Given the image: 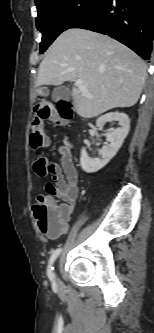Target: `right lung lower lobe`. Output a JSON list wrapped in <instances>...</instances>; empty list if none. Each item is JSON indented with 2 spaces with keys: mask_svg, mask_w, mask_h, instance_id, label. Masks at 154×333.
<instances>
[{
  "mask_svg": "<svg viewBox=\"0 0 154 333\" xmlns=\"http://www.w3.org/2000/svg\"><path fill=\"white\" fill-rule=\"evenodd\" d=\"M70 28L109 35L148 59L154 33V0H101Z\"/></svg>",
  "mask_w": 154,
  "mask_h": 333,
  "instance_id": "1",
  "label": "right lung lower lobe"
}]
</instances>
